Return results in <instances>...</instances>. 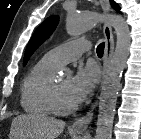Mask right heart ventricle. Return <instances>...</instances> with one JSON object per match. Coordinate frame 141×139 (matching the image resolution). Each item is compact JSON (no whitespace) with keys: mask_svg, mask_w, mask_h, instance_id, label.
Returning a JSON list of instances; mask_svg holds the SVG:
<instances>
[{"mask_svg":"<svg viewBox=\"0 0 141 139\" xmlns=\"http://www.w3.org/2000/svg\"><path fill=\"white\" fill-rule=\"evenodd\" d=\"M59 67L45 57L25 76L21 85V106L29 114L49 116L54 113L50 101V85Z\"/></svg>","mask_w":141,"mask_h":139,"instance_id":"obj_1","label":"right heart ventricle"}]
</instances>
